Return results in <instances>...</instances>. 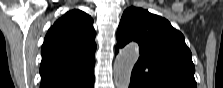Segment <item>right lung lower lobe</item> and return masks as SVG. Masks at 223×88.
I'll return each instance as SVG.
<instances>
[{
    "instance_id": "1",
    "label": "right lung lower lobe",
    "mask_w": 223,
    "mask_h": 88,
    "mask_svg": "<svg viewBox=\"0 0 223 88\" xmlns=\"http://www.w3.org/2000/svg\"><path fill=\"white\" fill-rule=\"evenodd\" d=\"M93 84H94V81L91 84L87 85L85 88H93Z\"/></svg>"
}]
</instances>
